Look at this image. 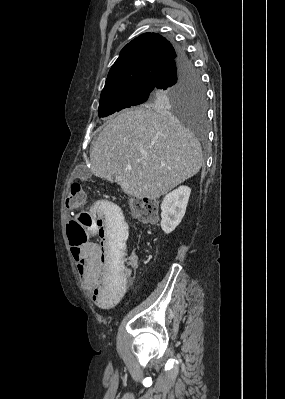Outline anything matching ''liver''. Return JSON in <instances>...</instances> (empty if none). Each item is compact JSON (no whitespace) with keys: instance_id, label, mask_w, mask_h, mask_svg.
<instances>
[{"instance_id":"liver-1","label":"liver","mask_w":285,"mask_h":399,"mask_svg":"<svg viewBox=\"0 0 285 399\" xmlns=\"http://www.w3.org/2000/svg\"><path fill=\"white\" fill-rule=\"evenodd\" d=\"M202 160L199 141L171 113L136 108L106 122L90 151V170L131 197L159 198L196 175Z\"/></svg>"}]
</instances>
